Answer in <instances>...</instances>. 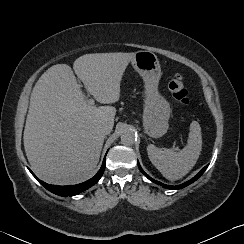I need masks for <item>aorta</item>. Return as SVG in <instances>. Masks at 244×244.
Segmentation results:
<instances>
[{"mask_svg": "<svg viewBox=\"0 0 244 244\" xmlns=\"http://www.w3.org/2000/svg\"><path fill=\"white\" fill-rule=\"evenodd\" d=\"M121 143L123 145L131 146L136 142L137 135L132 129H125L121 133Z\"/></svg>", "mask_w": 244, "mask_h": 244, "instance_id": "aorta-1", "label": "aorta"}]
</instances>
